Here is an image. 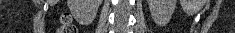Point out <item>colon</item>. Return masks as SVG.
<instances>
[{
	"mask_svg": "<svg viewBox=\"0 0 235 33\" xmlns=\"http://www.w3.org/2000/svg\"><path fill=\"white\" fill-rule=\"evenodd\" d=\"M60 33H75L76 28L71 24V19L68 15H63L61 19Z\"/></svg>",
	"mask_w": 235,
	"mask_h": 33,
	"instance_id": "colon-1",
	"label": "colon"
}]
</instances>
